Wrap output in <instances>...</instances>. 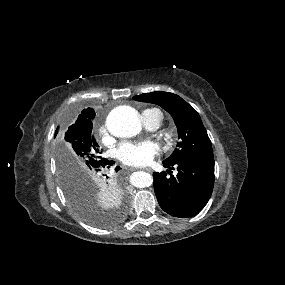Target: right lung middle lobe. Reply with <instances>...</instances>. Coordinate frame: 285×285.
<instances>
[{"instance_id": "obj_1", "label": "right lung middle lobe", "mask_w": 285, "mask_h": 285, "mask_svg": "<svg viewBox=\"0 0 285 285\" xmlns=\"http://www.w3.org/2000/svg\"><path fill=\"white\" fill-rule=\"evenodd\" d=\"M91 130L92 125L69 127L59 137L57 167L63 192L72 209L90 225L107 227L112 222L102 214L97 203V194L110 192L118 198L122 195L114 179L106 181L107 177H103L101 152ZM118 218L119 216H115L113 221Z\"/></svg>"}]
</instances>
